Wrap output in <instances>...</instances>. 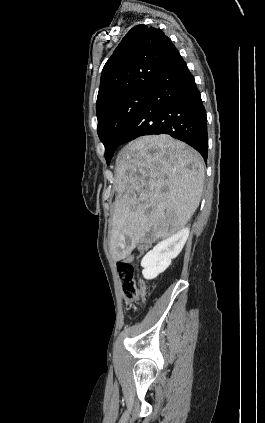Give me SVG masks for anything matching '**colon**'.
Instances as JSON below:
<instances>
[{
	"label": "colon",
	"instance_id": "obj_1",
	"mask_svg": "<svg viewBox=\"0 0 265 423\" xmlns=\"http://www.w3.org/2000/svg\"><path fill=\"white\" fill-rule=\"evenodd\" d=\"M117 272L122 281L125 299L132 301L146 295V284L143 280H136V267L131 258L117 262Z\"/></svg>",
	"mask_w": 265,
	"mask_h": 423
}]
</instances>
